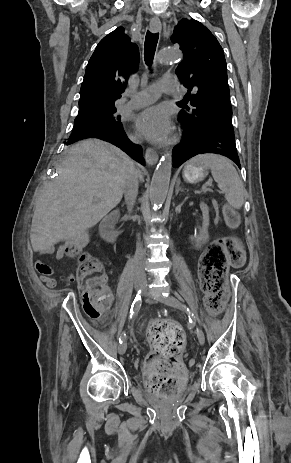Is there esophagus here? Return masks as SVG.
Listing matches in <instances>:
<instances>
[{
  "label": "esophagus",
  "instance_id": "1",
  "mask_svg": "<svg viewBox=\"0 0 291 463\" xmlns=\"http://www.w3.org/2000/svg\"><path fill=\"white\" fill-rule=\"evenodd\" d=\"M150 29L151 31L153 32H158V31H161L162 29V24H161V21L158 17H153L150 21ZM158 154L156 153L155 150L151 149V148H148L146 150V153H145V159H146V162L150 165H154L157 163L158 161Z\"/></svg>",
  "mask_w": 291,
  "mask_h": 463
}]
</instances>
